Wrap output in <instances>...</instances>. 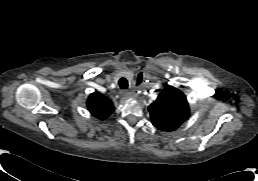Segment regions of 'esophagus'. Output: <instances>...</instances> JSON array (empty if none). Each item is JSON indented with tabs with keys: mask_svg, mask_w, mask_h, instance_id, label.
I'll use <instances>...</instances> for the list:
<instances>
[{
	"mask_svg": "<svg viewBox=\"0 0 258 181\" xmlns=\"http://www.w3.org/2000/svg\"><path fill=\"white\" fill-rule=\"evenodd\" d=\"M126 94L128 96H134L136 93H135V91H127Z\"/></svg>",
	"mask_w": 258,
	"mask_h": 181,
	"instance_id": "obj_1",
	"label": "esophagus"
}]
</instances>
